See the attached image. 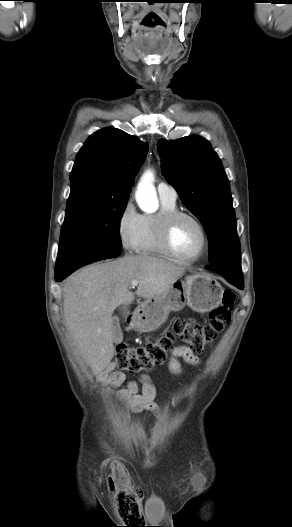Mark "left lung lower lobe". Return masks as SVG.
Instances as JSON below:
<instances>
[{"instance_id":"obj_1","label":"left lung lower lobe","mask_w":292,"mask_h":527,"mask_svg":"<svg viewBox=\"0 0 292 527\" xmlns=\"http://www.w3.org/2000/svg\"><path fill=\"white\" fill-rule=\"evenodd\" d=\"M208 269L217 272L238 289L242 290L244 288L241 263L221 262L209 266Z\"/></svg>"}]
</instances>
